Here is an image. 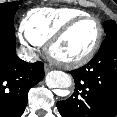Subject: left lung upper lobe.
Segmentation results:
<instances>
[{"label": "left lung upper lobe", "mask_w": 117, "mask_h": 117, "mask_svg": "<svg viewBox=\"0 0 117 117\" xmlns=\"http://www.w3.org/2000/svg\"><path fill=\"white\" fill-rule=\"evenodd\" d=\"M104 31L106 35L111 34L113 31H117V24L113 20L106 21L104 23Z\"/></svg>", "instance_id": "1"}]
</instances>
